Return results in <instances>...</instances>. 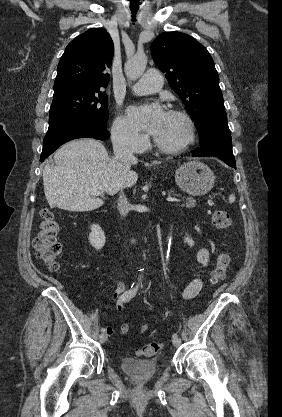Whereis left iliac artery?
Wrapping results in <instances>:
<instances>
[{
  "label": "left iliac artery",
  "mask_w": 282,
  "mask_h": 417,
  "mask_svg": "<svg viewBox=\"0 0 282 417\" xmlns=\"http://www.w3.org/2000/svg\"><path fill=\"white\" fill-rule=\"evenodd\" d=\"M172 337H173V338H178L177 333H174V334L172 335Z\"/></svg>",
  "instance_id": "1"
}]
</instances>
